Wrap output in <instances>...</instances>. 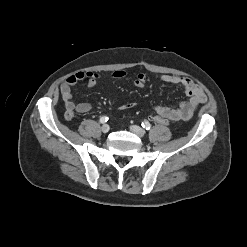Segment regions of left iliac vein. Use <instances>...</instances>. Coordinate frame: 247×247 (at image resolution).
I'll return each instance as SVG.
<instances>
[{
    "label": "left iliac vein",
    "mask_w": 247,
    "mask_h": 247,
    "mask_svg": "<svg viewBox=\"0 0 247 247\" xmlns=\"http://www.w3.org/2000/svg\"><path fill=\"white\" fill-rule=\"evenodd\" d=\"M130 130L138 137H143L145 135V130L142 129L140 126L132 125L130 126Z\"/></svg>",
    "instance_id": "4c4485c4"
}]
</instances>
